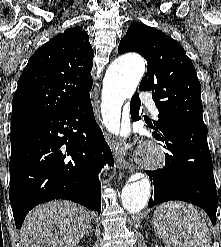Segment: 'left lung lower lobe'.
<instances>
[{
	"label": "left lung lower lobe",
	"instance_id": "1",
	"mask_svg": "<svg viewBox=\"0 0 221 247\" xmlns=\"http://www.w3.org/2000/svg\"><path fill=\"white\" fill-rule=\"evenodd\" d=\"M141 101L136 92L130 102L133 121L139 116ZM147 124L153 130V136L166 142L170 152L166 156L165 167L147 171L154 184V196L148 206L179 200L203 208L216 224L217 191L212 171V158L207 144L205 126L186 125L181 122L165 121L160 125Z\"/></svg>",
	"mask_w": 221,
	"mask_h": 247
}]
</instances>
